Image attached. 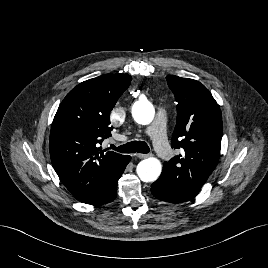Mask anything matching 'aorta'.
I'll return each instance as SVG.
<instances>
[{
	"label": "aorta",
	"mask_w": 268,
	"mask_h": 268,
	"mask_svg": "<svg viewBox=\"0 0 268 268\" xmlns=\"http://www.w3.org/2000/svg\"><path fill=\"white\" fill-rule=\"evenodd\" d=\"M132 116L134 120L141 125L150 124L155 116L153 105L149 101L136 102L132 107ZM162 165L154 157L142 160L137 165V174L143 182H154L161 174Z\"/></svg>",
	"instance_id": "obj_1"
}]
</instances>
